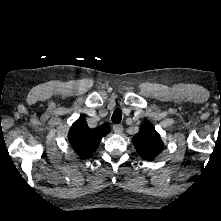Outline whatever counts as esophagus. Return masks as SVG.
<instances>
[{
	"label": "esophagus",
	"mask_w": 221,
	"mask_h": 221,
	"mask_svg": "<svg viewBox=\"0 0 221 221\" xmlns=\"http://www.w3.org/2000/svg\"><path fill=\"white\" fill-rule=\"evenodd\" d=\"M113 130L116 134H121L123 132V126L120 124H114Z\"/></svg>",
	"instance_id": "esophagus-1"
}]
</instances>
